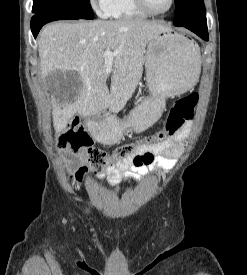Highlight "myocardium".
I'll list each match as a JSON object with an SVG mask.
<instances>
[{
	"label": "myocardium",
	"mask_w": 247,
	"mask_h": 275,
	"mask_svg": "<svg viewBox=\"0 0 247 275\" xmlns=\"http://www.w3.org/2000/svg\"><path fill=\"white\" fill-rule=\"evenodd\" d=\"M134 1H135L136 5L138 6V8H139L140 10H142V11H143L144 13H146L147 15H151V16H161V15H165V14H167L168 12H170V11L172 10V8H173V6H174V4H175V0H170V5H169V7H168L166 10H164V11L158 12V11L152 10V9L148 6L146 0H134Z\"/></svg>",
	"instance_id": "1"
}]
</instances>
